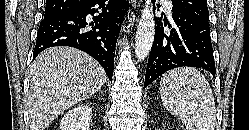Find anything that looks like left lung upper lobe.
Returning a JSON list of instances; mask_svg holds the SVG:
<instances>
[{
  "instance_id": "obj_1",
  "label": "left lung upper lobe",
  "mask_w": 249,
  "mask_h": 130,
  "mask_svg": "<svg viewBox=\"0 0 249 130\" xmlns=\"http://www.w3.org/2000/svg\"><path fill=\"white\" fill-rule=\"evenodd\" d=\"M173 6L191 13L203 20H209L206 0H172Z\"/></svg>"
}]
</instances>
